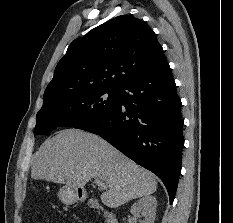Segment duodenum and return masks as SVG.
Masks as SVG:
<instances>
[{
  "label": "duodenum",
  "mask_w": 233,
  "mask_h": 223,
  "mask_svg": "<svg viewBox=\"0 0 233 223\" xmlns=\"http://www.w3.org/2000/svg\"><path fill=\"white\" fill-rule=\"evenodd\" d=\"M78 197L80 200H85L89 208L100 214L105 223H118L116 216L105 211L96 199L88 198L84 192H80Z\"/></svg>",
  "instance_id": "410a0bca"
}]
</instances>
